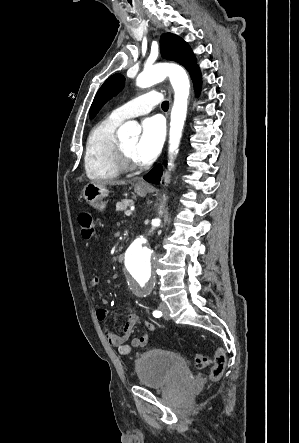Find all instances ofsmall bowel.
<instances>
[{
  "label": "small bowel",
  "instance_id": "1",
  "mask_svg": "<svg viewBox=\"0 0 299 443\" xmlns=\"http://www.w3.org/2000/svg\"><path fill=\"white\" fill-rule=\"evenodd\" d=\"M98 282L99 278L98 276H95L92 279L91 285L95 287ZM128 310L129 315L120 334H117L110 330L105 331L109 344L113 347H117L123 355L130 354L132 348L147 346L150 342L149 333L156 330V326L153 323L146 322L144 325V332L139 336L131 338L133 330L139 322V317L132 309L128 308ZM107 314L108 311L105 308H98L96 311V316L100 321H104L107 317ZM129 339H131L130 345L126 343Z\"/></svg>",
  "mask_w": 299,
  "mask_h": 443
}]
</instances>
